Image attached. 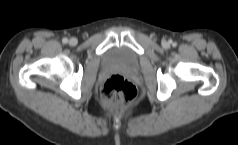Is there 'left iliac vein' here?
Listing matches in <instances>:
<instances>
[{"mask_svg": "<svg viewBox=\"0 0 238 145\" xmlns=\"http://www.w3.org/2000/svg\"><path fill=\"white\" fill-rule=\"evenodd\" d=\"M163 46H164L165 48H167V47H169V43H168L167 41H164V42H163Z\"/></svg>", "mask_w": 238, "mask_h": 145, "instance_id": "4c4485c4", "label": "left iliac vein"}]
</instances>
